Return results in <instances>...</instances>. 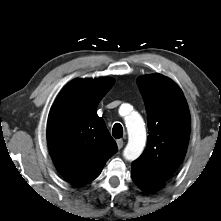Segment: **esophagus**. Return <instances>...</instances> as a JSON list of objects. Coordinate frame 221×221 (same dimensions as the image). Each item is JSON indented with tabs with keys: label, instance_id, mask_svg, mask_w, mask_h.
<instances>
[{
	"label": "esophagus",
	"instance_id": "obj_1",
	"mask_svg": "<svg viewBox=\"0 0 221 221\" xmlns=\"http://www.w3.org/2000/svg\"><path fill=\"white\" fill-rule=\"evenodd\" d=\"M118 149H121L124 145V141L122 139H119L116 141Z\"/></svg>",
	"mask_w": 221,
	"mask_h": 221
}]
</instances>
